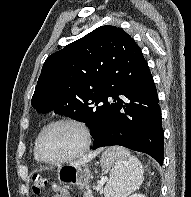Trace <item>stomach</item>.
Returning <instances> with one entry per match:
<instances>
[{"mask_svg":"<svg viewBox=\"0 0 191 197\" xmlns=\"http://www.w3.org/2000/svg\"><path fill=\"white\" fill-rule=\"evenodd\" d=\"M116 162V159L111 155L109 150H106L101 156V164L103 167H111ZM58 179L63 184L84 188L90 180V172L87 164L75 166L72 164L61 167L58 170Z\"/></svg>","mask_w":191,"mask_h":197,"instance_id":"1","label":"stomach"}]
</instances>
